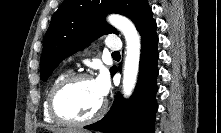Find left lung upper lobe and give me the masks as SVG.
Here are the masks:
<instances>
[{
    "label": "left lung upper lobe",
    "instance_id": "left-lung-upper-lobe-1",
    "mask_svg": "<svg viewBox=\"0 0 221 133\" xmlns=\"http://www.w3.org/2000/svg\"><path fill=\"white\" fill-rule=\"evenodd\" d=\"M108 13L128 17L139 32L153 21L147 0H65L54 13L45 35L40 62L43 81L65 57L104 34H118L104 21Z\"/></svg>",
    "mask_w": 221,
    "mask_h": 133
}]
</instances>
